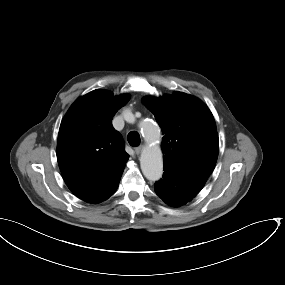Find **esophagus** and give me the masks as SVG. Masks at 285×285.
<instances>
[{"label": "esophagus", "instance_id": "obj_1", "mask_svg": "<svg viewBox=\"0 0 285 285\" xmlns=\"http://www.w3.org/2000/svg\"><path fill=\"white\" fill-rule=\"evenodd\" d=\"M142 149H143V146L140 145V146L135 147V148H134V151H135V153L138 155V154L141 153Z\"/></svg>", "mask_w": 285, "mask_h": 285}]
</instances>
